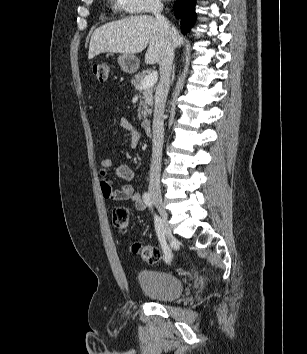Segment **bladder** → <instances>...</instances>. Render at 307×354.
<instances>
[{
    "mask_svg": "<svg viewBox=\"0 0 307 354\" xmlns=\"http://www.w3.org/2000/svg\"><path fill=\"white\" fill-rule=\"evenodd\" d=\"M137 279L147 297L162 302L177 299L184 288L180 277L163 270L142 269L138 272Z\"/></svg>",
    "mask_w": 307,
    "mask_h": 354,
    "instance_id": "obj_1",
    "label": "bladder"
}]
</instances>
